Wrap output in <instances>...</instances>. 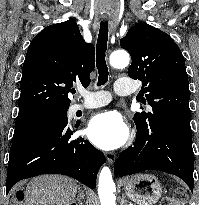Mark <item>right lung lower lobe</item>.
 Instances as JSON below:
<instances>
[{"mask_svg": "<svg viewBox=\"0 0 199 205\" xmlns=\"http://www.w3.org/2000/svg\"><path fill=\"white\" fill-rule=\"evenodd\" d=\"M72 134L66 124L40 130L12 143L6 193L19 180L41 174L67 175L95 189L98 169L106 162L105 156L88 140H71Z\"/></svg>", "mask_w": 199, "mask_h": 205, "instance_id": "right-lung-lower-lobe-1", "label": "right lung lower lobe"}]
</instances>
